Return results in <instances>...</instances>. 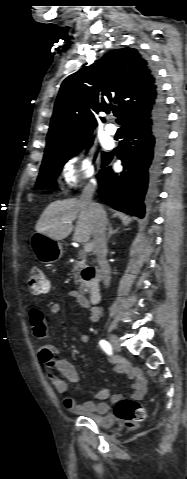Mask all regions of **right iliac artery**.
<instances>
[{"instance_id":"obj_1","label":"right iliac artery","mask_w":187,"mask_h":479,"mask_svg":"<svg viewBox=\"0 0 187 479\" xmlns=\"http://www.w3.org/2000/svg\"><path fill=\"white\" fill-rule=\"evenodd\" d=\"M100 346L102 347V349L109 355L112 354V347L111 345L109 344V342L105 341V340H101L99 342Z\"/></svg>"}]
</instances>
